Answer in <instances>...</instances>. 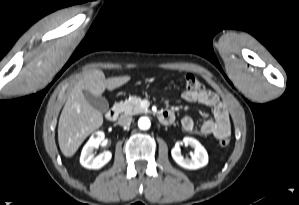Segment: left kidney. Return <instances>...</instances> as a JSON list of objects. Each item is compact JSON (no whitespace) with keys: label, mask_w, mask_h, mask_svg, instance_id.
Segmentation results:
<instances>
[{"label":"left kidney","mask_w":299,"mask_h":205,"mask_svg":"<svg viewBox=\"0 0 299 205\" xmlns=\"http://www.w3.org/2000/svg\"><path fill=\"white\" fill-rule=\"evenodd\" d=\"M180 144L191 146L194 148V155L191 159H185L181 154ZM171 155L174 161L185 169L195 170L204 167L208 163V154L205 148L192 137H184L183 142H177L171 150Z\"/></svg>","instance_id":"5707ae66"}]
</instances>
